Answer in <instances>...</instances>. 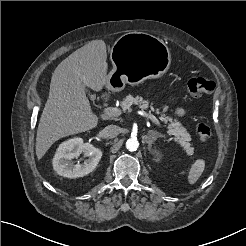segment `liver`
<instances>
[{
	"mask_svg": "<svg viewBox=\"0 0 246 246\" xmlns=\"http://www.w3.org/2000/svg\"><path fill=\"white\" fill-rule=\"evenodd\" d=\"M106 60L105 42L94 40L56 67L37 129L35 151L38 160L57 140L97 126L98 117L91 110L85 88L97 92L103 89L107 81Z\"/></svg>",
	"mask_w": 246,
	"mask_h": 246,
	"instance_id": "1",
	"label": "liver"
}]
</instances>
